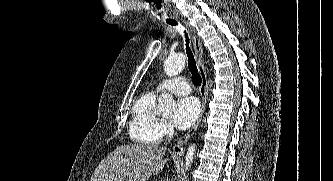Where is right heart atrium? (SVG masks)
Segmentation results:
<instances>
[{
  "mask_svg": "<svg viewBox=\"0 0 333 181\" xmlns=\"http://www.w3.org/2000/svg\"><path fill=\"white\" fill-rule=\"evenodd\" d=\"M161 138L169 137L174 133L172 124L168 120H161L158 127Z\"/></svg>",
  "mask_w": 333,
  "mask_h": 181,
  "instance_id": "1",
  "label": "right heart atrium"
}]
</instances>
